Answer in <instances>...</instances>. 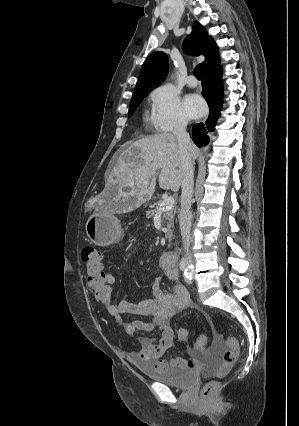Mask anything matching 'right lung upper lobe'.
Masks as SVG:
<instances>
[{
	"label": "right lung upper lobe",
	"instance_id": "right-lung-upper-lobe-1",
	"mask_svg": "<svg viewBox=\"0 0 299 426\" xmlns=\"http://www.w3.org/2000/svg\"><path fill=\"white\" fill-rule=\"evenodd\" d=\"M183 46L193 55L206 56L202 63L204 71L220 62L216 43L198 21H194L192 33L186 37ZM168 67V57L164 52L155 51L149 55L142 65L134 93L150 92L159 86L167 76Z\"/></svg>",
	"mask_w": 299,
	"mask_h": 426
}]
</instances>
